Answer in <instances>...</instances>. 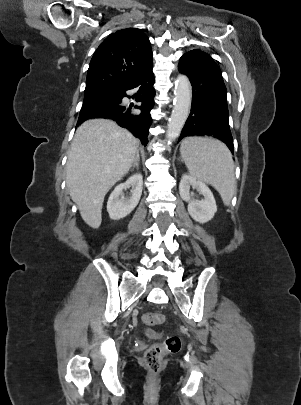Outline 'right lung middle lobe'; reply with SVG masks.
Instances as JSON below:
<instances>
[{
  "label": "right lung middle lobe",
  "instance_id": "right-lung-middle-lobe-1",
  "mask_svg": "<svg viewBox=\"0 0 301 405\" xmlns=\"http://www.w3.org/2000/svg\"><path fill=\"white\" fill-rule=\"evenodd\" d=\"M120 92L112 89L85 90L84 102L81 110H89L103 104L115 101Z\"/></svg>",
  "mask_w": 301,
  "mask_h": 405
}]
</instances>
